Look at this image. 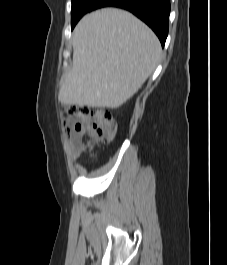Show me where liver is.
<instances>
[{
    "instance_id": "liver-1",
    "label": "liver",
    "mask_w": 227,
    "mask_h": 265,
    "mask_svg": "<svg viewBox=\"0 0 227 265\" xmlns=\"http://www.w3.org/2000/svg\"><path fill=\"white\" fill-rule=\"evenodd\" d=\"M73 64L63 76L66 105L117 108L158 65L162 49L154 32L131 13L105 8L85 15L73 32Z\"/></svg>"
}]
</instances>
